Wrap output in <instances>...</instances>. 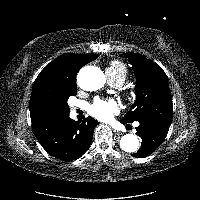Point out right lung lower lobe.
I'll use <instances>...</instances> for the list:
<instances>
[{"mask_svg":"<svg viewBox=\"0 0 200 200\" xmlns=\"http://www.w3.org/2000/svg\"><path fill=\"white\" fill-rule=\"evenodd\" d=\"M97 123L92 117L76 122L69 114L50 115L33 121L32 129L50 155L68 161L80 158L88 150Z\"/></svg>","mask_w":200,"mask_h":200,"instance_id":"obj_1","label":"right lung lower lobe"}]
</instances>
